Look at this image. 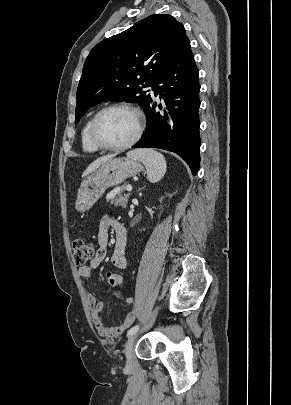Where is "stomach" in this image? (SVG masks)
<instances>
[{
	"label": "stomach",
	"instance_id": "stomach-1",
	"mask_svg": "<svg viewBox=\"0 0 291 405\" xmlns=\"http://www.w3.org/2000/svg\"><path fill=\"white\" fill-rule=\"evenodd\" d=\"M141 170V164L129 157L112 158L104 162L94 174L81 183L75 202L76 210L80 212L89 210L107 188L118 186Z\"/></svg>",
	"mask_w": 291,
	"mask_h": 405
}]
</instances>
